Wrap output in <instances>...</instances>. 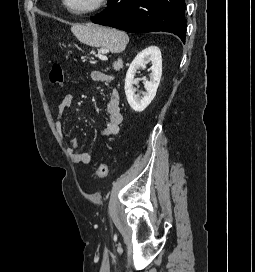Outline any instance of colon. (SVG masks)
Returning <instances> with one entry per match:
<instances>
[{"label": "colon", "mask_w": 255, "mask_h": 272, "mask_svg": "<svg viewBox=\"0 0 255 272\" xmlns=\"http://www.w3.org/2000/svg\"><path fill=\"white\" fill-rule=\"evenodd\" d=\"M49 79L52 84L62 85L64 82V75L62 66L58 63L52 65L49 73ZM108 166L106 163H99L96 169V174L100 179L108 176Z\"/></svg>", "instance_id": "colon-1"}]
</instances>
